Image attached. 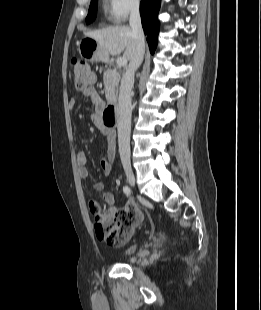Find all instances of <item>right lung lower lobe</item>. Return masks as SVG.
<instances>
[{"mask_svg":"<svg viewBox=\"0 0 261 310\" xmlns=\"http://www.w3.org/2000/svg\"><path fill=\"white\" fill-rule=\"evenodd\" d=\"M161 0H142L140 5V14L142 18V27L145 34L148 35L147 42L150 52L153 54L156 46L159 33L160 23L158 21V12L160 9Z\"/></svg>","mask_w":261,"mask_h":310,"instance_id":"98d812e1","label":"right lung lower lobe"}]
</instances>
